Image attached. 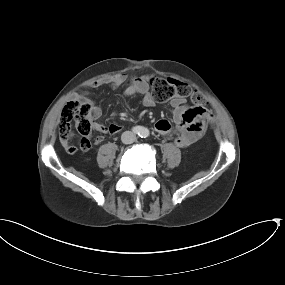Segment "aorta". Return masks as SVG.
<instances>
[{"mask_svg": "<svg viewBox=\"0 0 285 285\" xmlns=\"http://www.w3.org/2000/svg\"><path fill=\"white\" fill-rule=\"evenodd\" d=\"M139 134L141 135V137H147L149 135V130L145 127H142Z\"/></svg>", "mask_w": 285, "mask_h": 285, "instance_id": "762f6f07", "label": "aorta"}]
</instances>
